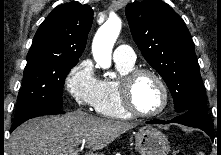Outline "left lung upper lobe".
Returning a JSON list of instances; mask_svg holds the SVG:
<instances>
[{
    "instance_id": "1",
    "label": "left lung upper lobe",
    "mask_w": 221,
    "mask_h": 155,
    "mask_svg": "<svg viewBox=\"0 0 221 155\" xmlns=\"http://www.w3.org/2000/svg\"><path fill=\"white\" fill-rule=\"evenodd\" d=\"M125 13L142 55L172 92L175 111L207 108L194 43L183 19L161 0L130 3Z\"/></svg>"
}]
</instances>
